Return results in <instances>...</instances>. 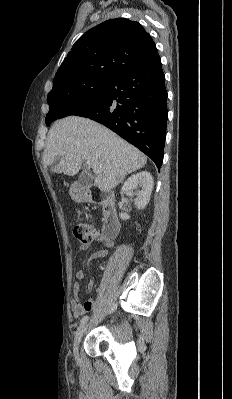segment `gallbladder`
<instances>
[{
  "mask_svg": "<svg viewBox=\"0 0 232 399\" xmlns=\"http://www.w3.org/2000/svg\"><path fill=\"white\" fill-rule=\"evenodd\" d=\"M81 168L83 169V172L78 178L79 184H81V186H84V188H86V186H92L93 178L90 174L89 164L83 163L81 165Z\"/></svg>",
  "mask_w": 232,
  "mask_h": 399,
  "instance_id": "bac80fb5",
  "label": "gallbladder"
}]
</instances>
